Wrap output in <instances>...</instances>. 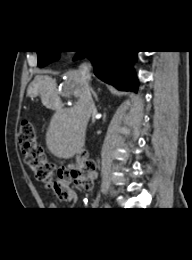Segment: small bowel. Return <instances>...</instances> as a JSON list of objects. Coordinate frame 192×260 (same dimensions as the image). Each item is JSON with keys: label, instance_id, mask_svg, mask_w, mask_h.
Wrapping results in <instances>:
<instances>
[{"label": "small bowel", "instance_id": "c3829d8e", "mask_svg": "<svg viewBox=\"0 0 192 260\" xmlns=\"http://www.w3.org/2000/svg\"><path fill=\"white\" fill-rule=\"evenodd\" d=\"M76 198H77L76 192L71 189L70 192H69L68 197L65 200H63V201H65L69 206H73V204L76 201ZM49 208L51 210H56L58 208V203L57 202L51 203Z\"/></svg>", "mask_w": 192, "mask_h": 260}]
</instances>
